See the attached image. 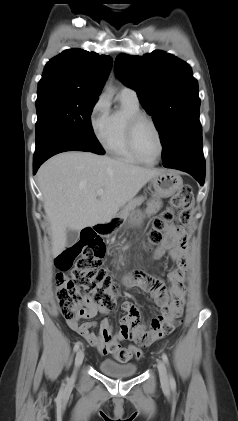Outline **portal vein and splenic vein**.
Here are the masks:
<instances>
[{
  "mask_svg": "<svg viewBox=\"0 0 238 421\" xmlns=\"http://www.w3.org/2000/svg\"><path fill=\"white\" fill-rule=\"evenodd\" d=\"M103 193H104V191H103L102 189H100V190H98V191H97V195H98V196L103 195Z\"/></svg>",
  "mask_w": 238,
  "mask_h": 421,
  "instance_id": "18ae733b",
  "label": "portal vein and splenic vein"
}]
</instances>
